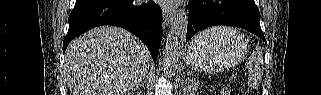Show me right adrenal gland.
<instances>
[{"mask_svg": "<svg viewBox=\"0 0 321 95\" xmlns=\"http://www.w3.org/2000/svg\"><path fill=\"white\" fill-rule=\"evenodd\" d=\"M146 83V76L135 86L134 91H136L139 87L144 88V84Z\"/></svg>", "mask_w": 321, "mask_h": 95, "instance_id": "right-adrenal-gland-1", "label": "right adrenal gland"}]
</instances>
